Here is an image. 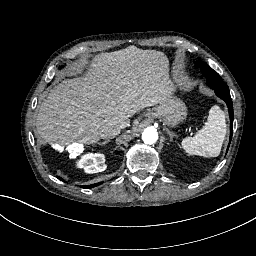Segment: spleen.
I'll return each instance as SVG.
<instances>
[{
	"label": "spleen",
	"instance_id": "3e777b00",
	"mask_svg": "<svg viewBox=\"0 0 256 256\" xmlns=\"http://www.w3.org/2000/svg\"><path fill=\"white\" fill-rule=\"evenodd\" d=\"M225 134L224 112L218 105H214L211 107L203 127L193 137L184 138L181 146L189 156L215 158L220 154Z\"/></svg>",
	"mask_w": 256,
	"mask_h": 256
}]
</instances>
